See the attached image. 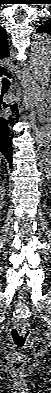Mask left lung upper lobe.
Wrapping results in <instances>:
<instances>
[{"label":"left lung upper lobe","mask_w":51,"mask_h":393,"mask_svg":"<svg viewBox=\"0 0 51 393\" xmlns=\"http://www.w3.org/2000/svg\"><path fill=\"white\" fill-rule=\"evenodd\" d=\"M37 33H47L51 36V19L41 23L36 30Z\"/></svg>","instance_id":"5c2ea615"}]
</instances>
